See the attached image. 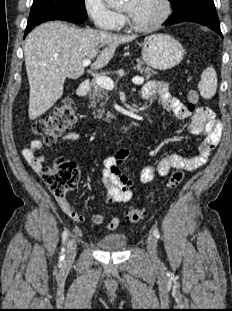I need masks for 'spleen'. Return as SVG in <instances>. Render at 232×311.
Returning <instances> with one entry per match:
<instances>
[{"label":"spleen","mask_w":232,"mask_h":311,"mask_svg":"<svg viewBox=\"0 0 232 311\" xmlns=\"http://www.w3.org/2000/svg\"><path fill=\"white\" fill-rule=\"evenodd\" d=\"M198 90L205 99L212 98L217 90V74L213 67L205 69L198 84Z\"/></svg>","instance_id":"obj_1"}]
</instances>
